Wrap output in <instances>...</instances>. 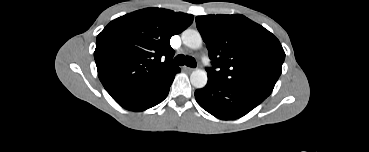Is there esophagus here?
<instances>
[{
    "label": "esophagus",
    "instance_id": "obj_1",
    "mask_svg": "<svg viewBox=\"0 0 369 152\" xmlns=\"http://www.w3.org/2000/svg\"><path fill=\"white\" fill-rule=\"evenodd\" d=\"M183 70H184L185 72L190 73V72H192L194 69H193V68H191V67H188V66H183Z\"/></svg>",
    "mask_w": 369,
    "mask_h": 152
}]
</instances>
